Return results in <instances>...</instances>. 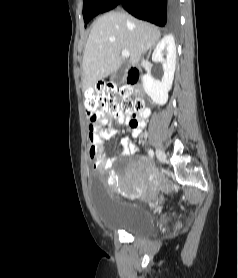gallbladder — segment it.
Instances as JSON below:
<instances>
[{"label":"gallbladder","mask_w":238,"mask_h":278,"mask_svg":"<svg viewBox=\"0 0 238 278\" xmlns=\"http://www.w3.org/2000/svg\"><path fill=\"white\" fill-rule=\"evenodd\" d=\"M126 67H127V65L124 63L116 71V73L114 74V76L112 78L114 82H116V83H121L122 82Z\"/></svg>","instance_id":"gallbladder-1"}]
</instances>
